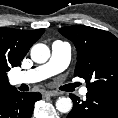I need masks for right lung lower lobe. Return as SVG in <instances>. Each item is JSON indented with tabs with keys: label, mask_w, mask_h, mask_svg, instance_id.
Listing matches in <instances>:
<instances>
[{
	"label": "right lung lower lobe",
	"mask_w": 118,
	"mask_h": 118,
	"mask_svg": "<svg viewBox=\"0 0 118 118\" xmlns=\"http://www.w3.org/2000/svg\"><path fill=\"white\" fill-rule=\"evenodd\" d=\"M40 93L19 92L16 88L0 93V118H30Z\"/></svg>",
	"instance_id": "1"
}]
</instances>
